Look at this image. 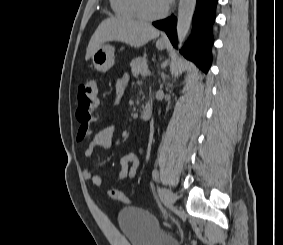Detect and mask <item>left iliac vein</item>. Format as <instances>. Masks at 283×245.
<instances>
[{
	"mask_svg": "<svg viewBox=\"0 0 283 245\" xmlns=\"http://www.w3.org/2000/svg\"><path fill=\"white\" fill-rule=\"evenodd\" d=\"M164 201L165 204L170 208H174L175 204V195L172 191L168 189H163Z\"/></svg>",
	"mask_w": 283,
	"mask_h": 245,
	"instance_id": "4c4485c4",
	"label": "left iliac vein"
}]
</instances>
